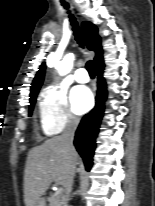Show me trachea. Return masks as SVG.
I'll list each match as a JSON object with an SVG mask.
<instances>
[{"label":"trachea","mask_w":155,"mask_h":206,"mask_svg":"<svg viewBox=\"0 0 155 206\" xmlns=\"http://www.w3.org/2000/svg\"><path fill=\"white\" fill-rule=\"evenodd\" d=\"M62 5L66 9L69 8V5L66 2H62ZM70 21H71V24L73 26L74 35H75V38H76L78 44L80 45V47H84V40H83L82 33L78 27L76 19L73 17L72 14H70ZM86 69L88 70L90 76H92V77L95 76L96 70H95L94 61L89 60L86 64Z\"/></svg>","instance_id":"3493384b"}]
</instances>
